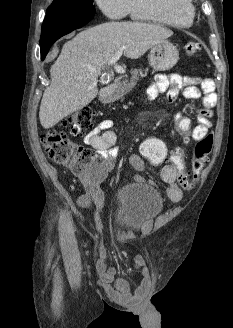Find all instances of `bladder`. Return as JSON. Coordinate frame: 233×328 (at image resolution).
Instances as JSON below:
<instances>
[{
    "mask_svg": "<svg viewBox=\"0 0 233 328\" xmlns=\"http://www.w3.org/2000/svg\"><path fill=\"white\" fill-rule=\"evenodd\" d=\"M117 220L127 228H139L154 220L163 210L157 189L144 183L121 186L115 193Z\"/></svg>",
    "mask_w": 233,
    "mask_h": 328,
    "instance_id": "obj_1",
    "label": "bladder"
}]
</instances>
